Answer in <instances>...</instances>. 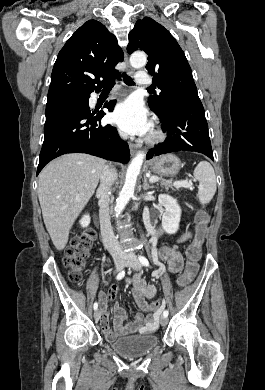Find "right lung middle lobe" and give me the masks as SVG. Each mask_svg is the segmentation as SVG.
I'll use <instances>...</instances> for the list:
<instances>
[{"label":"right lung middle lobe","mask_w":265,"mask_h":390,"mask_svg":"<svg viewBox=\"0 0 265 390\" xmlns=\"http://www.w3.org/2000/svg\"><path fill=\"white\" fill-rule=\"evenodd\" d=\"M90 94H81V95H73L68 96L52 101H47V103H53V102H62V101H86L89 98Z\"/></svg>","instance_id":"obj_1"}]
</instances>
